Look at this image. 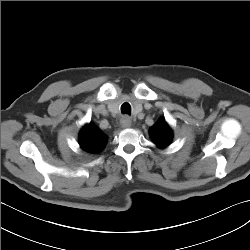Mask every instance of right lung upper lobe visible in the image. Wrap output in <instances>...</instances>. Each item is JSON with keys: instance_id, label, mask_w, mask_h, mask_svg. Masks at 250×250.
<instances>
[{"instance_id": "cb5924a9", "label": "right lung upper lobe", "mask_w": 250, "mask_h": 250, "mask_svg": "<svg viewBox=\"0 0 250 250\" xmlns=\"http://www.w3.org/2000/svg\"><path fill=\"white\" fill-rule=\"evenodd\" d=\"M106 142L105 134L91 123L81 130L79 144L86 152L98 153L105 147Z\"/></svg>"}]
</instances>
